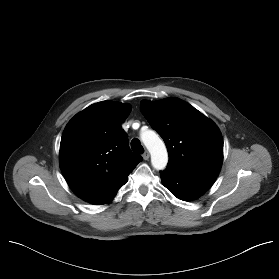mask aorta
Segmentation results:
<instances>
[{"instance_id": "762f6f07", "label": "aorta", "mask_w": 279, "mask_h": 279, "mask_svg": "<svg viewBox=\"0 0 279 279\" xmlns=\"http://www.w3.org/2000/svg\"><path fill=\"white\" fill-rule=\"evenodd\" d=\"M141 140L150 152L152 167L156 170H164L168 163V153L158 134L152 130L144 131Z\"/></svg>"}]
</instances>
